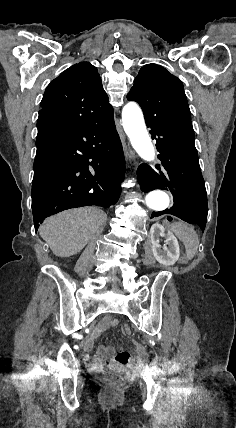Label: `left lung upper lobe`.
Instances as JSON below:
<instances>
[{
  "label": "left lung upper lobe",
  "mask_w": 236,
  "mask_h": 428,
  "mask_svg": "<svg viewBox=\"0 0 236 428\" xmlns=\"http://www.w3.org/2000/svg\"><path fill=\"white\" fill-rule=\"evenodd\" d=\"M127 98L139 103L146 122L168 124L194 138L183 84L162 66L154 63L144 65Z\"/></svg>",
  "instance_id": "obj_1"
}]
</instances>
